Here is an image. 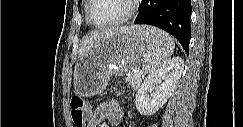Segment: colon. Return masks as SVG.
Instances as JSON below:
<instances>
[{
	"label": "colon",
	"mask_w": 243,
	"mask_h": 127,
	"mask_svg": "<svg viewBox=\"0 0 243 127\" xmlns=\"http://www.w3.org/2000/svg\"><path fill=\"white\" fill-rule=\"evenodd\" d=\"M71 117L75 127H84L88 115V109L85 101L75 96L70 102Z\"/></svg>",
	"instance_id": "obj_1"
}]
</instances>
